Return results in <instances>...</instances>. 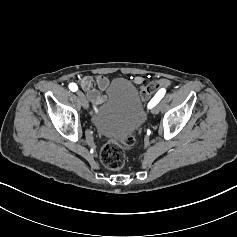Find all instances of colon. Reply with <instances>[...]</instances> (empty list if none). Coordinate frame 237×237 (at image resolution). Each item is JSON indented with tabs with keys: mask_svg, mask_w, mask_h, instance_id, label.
<instances>
[{
	"mask_svg": "<svg viewBox=\"0 0 237 237\" xmlns=\"http://www.w3.org/2000/svg\"><path fill=\"white\" fill-rule=\"evenodd\" d=\"M158 82H150L146 87L147 94L154 93L159 88ZM135 142L133 135L126 136L122 144H118L112 141H108L102 147L100 152V159L102 163L111 170H119L125 163V154L123 147H131Z\"/></svg>",
	"mask_w": 237,
	"mask_h": 237,
	"instance_id": "colon-1",
	"label": "colon"
}]
</instances>
